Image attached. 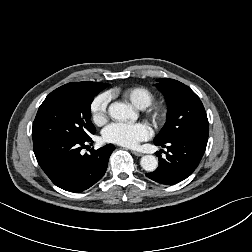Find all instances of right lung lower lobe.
I'll return each instance as SVG.
<instances>
[{"mask_svg":"<svg viewBox=\"0 0 252 252\" xmlns=\"http://www.w3.org/2000/svg\"><path fill=\"white\" fill-rule=\"evenodd\" d=\"M86 140L44 138L33 140L38 164L51 181L69 192H81L99 181L105 174L108 160L115 149L112 144L81 154Z\"/></svg>","mask_w":252,"mask_h":252,"instance_id":"1","label":"right lung lower lobe"}]
</instances>
